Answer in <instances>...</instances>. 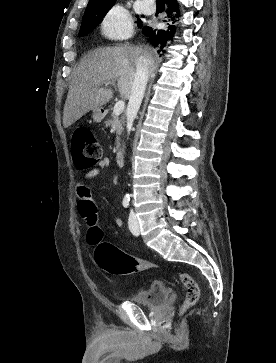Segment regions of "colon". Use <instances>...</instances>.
Masks as SVG:
<instances>
[{
    "label": "colon",
    "instance_id": "obj_1",
    "mask_svg": "<svg viewBox=\"0 0 276 363\" xmlns=\"http://www.w3.org/2000/svg\"><path fill=\"white\" fill-rule=\"evenodd\" d=\"M72 154L79 168H88L100 162L102 148L89 129L80 128L73 134ZM95 221L96 219L92 222L87 241L90 245L95 246L94 259L102 269L114 275H126L137 268L154 266L126 254L109 242L103 241L102 230L95 225ZM179 279L184 290V300L181 307L183 314L196 304L200 292L197 282L189 274L180 273Z\"/></svg>",
    "mask_w": 276,
    "mask_h": 363
}]
</instances>
